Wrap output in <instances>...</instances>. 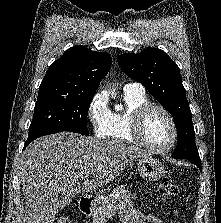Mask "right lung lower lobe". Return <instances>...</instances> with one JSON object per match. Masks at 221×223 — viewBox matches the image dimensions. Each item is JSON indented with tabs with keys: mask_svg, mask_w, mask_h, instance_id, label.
Masks as SVG:
<instances>
[{
	"mask_svg": "<svg viewBox=\"0 0 221 223\" xmlns=\"http://www.w3.org/2000/svg\"><path fill=\"white\" fill-rule=\"evenodd\" d=\"M30 142H31V141H26L23 150L29 145Z\"/></svg>",
	"mask_w": 221,
	"mask_h": 223,
	"instance_id": "right-lung-lower-lobe-1",
	"label": "right lung lower lobe"
}]
</instances>
